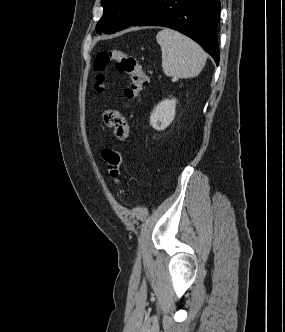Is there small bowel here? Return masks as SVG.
<instances>
[{
  "label": "small bowel",
  "instance_id": "c3829d8e",
  "mask_svg": "<svg viewBox=\"0 0 285 332\" xmlns=\"http://www.w3.org/2000/svg\"><path fill=\"white\" fill-rule=\"evenodd\" d=\"M104 122L113 129L118 140H125L129 135V126L125 118L116 110H109L104 114Z\"/></svg>",
  "mask_w": 285,
  "mask_h": 332
}]
</instances>
